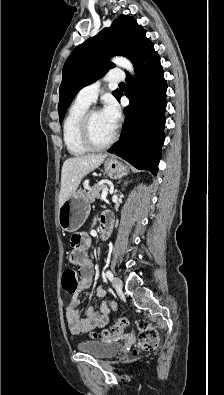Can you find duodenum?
I'll list each match as a JSON object with an SVG mask.
<instances>
[{"instance_id":"1","label":"duodenum","mask_w":224,"mask_h":395,"mask_svg":"<svg viewBox=\"0 0 224 395\" xmlns=\"http://www.w3.org/2000/svg\"><path fill=\"white\" fill-rule=\"evenodd\" d=\"M114 218L109 212H104L100 219V237L106 240L110 237L113 229Z\"/></svg>"}]
</instances>
